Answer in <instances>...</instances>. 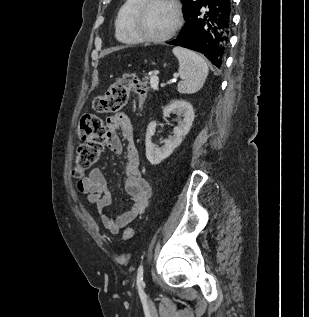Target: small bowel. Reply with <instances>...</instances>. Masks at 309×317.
<instances>
[{"mask_svg":"<svg viewBox=\"0 0 309 317\" xmlns=\"http://www.w3.org/2000/svg\"><path fill=\"white\" fill-rule=\"evenodd\" d=\"M105 121L107 125L105 143L109 150L116 154L123 153V144L118 131L122 132L128 142L123 186L131 206L116 218H112L105 212L112 197L107 180L99 168L92 169L88 176L82 178L77 184V189L96 206L104 227L112 233H118L145 211L151 197V188L141 172L139 153L133 142L132 124L128 115L117 113L108 116Z\"/></svg>","mask_w":309,"mask_h":317,"instance_id":"c3829d8e","label":"small bowel"}]
</instances>
